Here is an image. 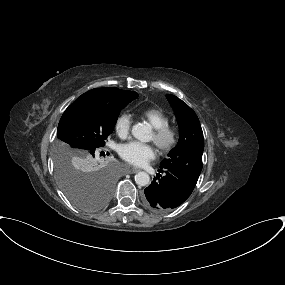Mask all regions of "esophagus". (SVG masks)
<instances>
[{"label":"esophagus","instance_id":"obj_1","mask_svg":"<svg viewBox=\"0 0 285 285\" xmlns=\"http://www.w3.org/2000/svg\"><path fill=\"white\" fill-rule=\"evenodd\" d=\"M140 171H141V169L137 168V167H134L133 170H132L133 173H137V172H140Z\"/></svg>","mask_w":285,"mask_h":285}]
</instances>
